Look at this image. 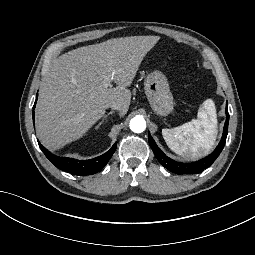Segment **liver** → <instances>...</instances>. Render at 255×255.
<instances>
[{"mask_svg": "<svg viewBox=\"0 0 255 255\" xmlns=\"http://www.w3.org/2000/svg\"><path fill=\"white\" fill-rule=\"evenodd\" d=\"M159 36H130L80 47L54 59L44 71L36 106L37 136L60 148L81 138L114 102L124 116L130 86L143 58ZM114 73L116 88H105Z\"/></svg>", "mask_w": 255, "mask_h": 255, "instance_id": "1", "label": "liver"}]
</instances>
